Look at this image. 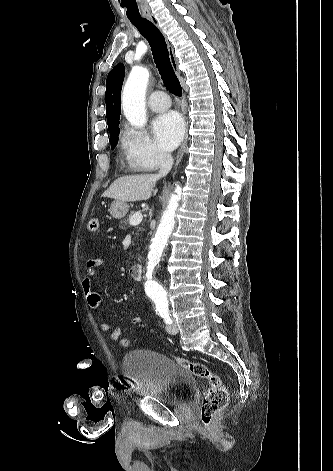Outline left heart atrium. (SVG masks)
Returning <instances> with one entry per match:
<instances>
[{
	"instance_id": "1",
	"label": "left heart atrium",
	"mask_w": 333,
	"mask_h": 471,
	"mask_svg": "<svg viewBox=\"0 0 333 471\" xmlns=\"http://www.w3.org/2000/svg\"><path fill=\"white\" fill-rule=\"evenodd\" d=\"M153 130L159 145L166 150H172L183 137L184 123L178 113L167 112L155 119Z\"/></svg>"
}]
</instances>
